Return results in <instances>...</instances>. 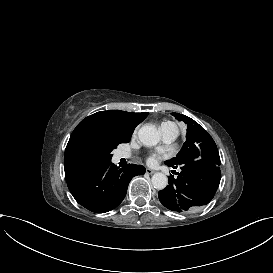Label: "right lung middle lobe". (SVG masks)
<instances>
[{
    "mask_svg": "<svg viewBox=\"0 0 273 273\" xmlns=\"http://www.w3.org/2000/svg\"><path fill=\"white\" fill-rule=\"evenodd\" d=\"M115 142H91L86 145V152L98 163H108L111 161V151L116 148Z\"/></svg>",
    "mask_w": 273,
    "mask_h": 273,
    "instance_id": "1",
    "label": "right lung middle lobe"
}]
</instances>
